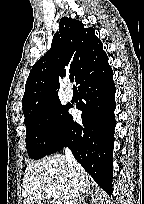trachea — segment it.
<instances>
[{
    "label": "trachea",
    "mask_w": 144,
    "mask_h": 204,
    "mask_svg": "<svg viewBox=\"0 0 144 204\" xmlns=\"http://www.w3.org/2000/svg\"><path fill=\"white\" fill-rule=\"evenodd\" d=\"M69 79H70L71 82H73V81H74V76L71 75V76L69 77Z\"/></svg>",
    "instance_id": "3493384b"
}]
</instances>
